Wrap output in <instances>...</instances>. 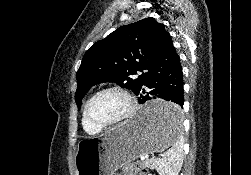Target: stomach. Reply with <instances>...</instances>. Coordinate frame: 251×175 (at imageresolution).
I'll return each instance as SVG.
<instances>
[{"label":"stomach","instance_id":"stomach-1","mask_svg":"<svg viewBox=\"0 0 251 175\" xmlns=\"http://www.w3.org/2000/svg\"><path fill=\"white\" fill-rule=\"evenodd\" d=\"M174 100H146L137 113L105 135H90L80 139L74 155L76 175H113L122 165L140 155L156 154L170 148L176 136L182 134Z\"/></svg>","mask_w":251,"mask_h":175}]
</instances>
